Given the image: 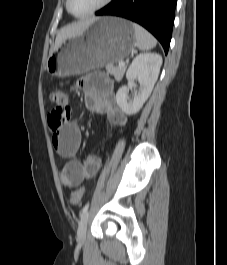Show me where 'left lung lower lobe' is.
I'll return each instance as SVG.
<instances>
[{
    "instance_id": "left-lung-lower-lobe-1",
    "label": "left lung lower lobe",
    "mask_w": 227,
    "mask_h": 265,
    "mask_svg": "<svg viewBox=\"0 0 227 265\" xmlns=\"http://www.w3.org/2000/svg\"><path fill=\"white\" fill-rule=\"evenodd\" d=\"M177 0H113L96 15H113L132 20L150 31L167 54L172 36Z\"/></svg>"
}]
</instances>
